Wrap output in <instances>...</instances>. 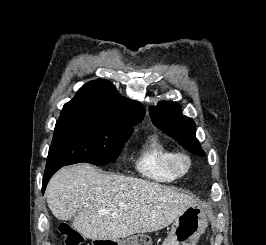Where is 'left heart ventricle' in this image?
Masks as SVG:
<instances>
[{
	"label": "left heart ventricle",
	"instance_id": "b2bd125f",
	"mask_svg": "<svg viewBox=\"0 0 266 245\" xmlns=\"http://www.w3.org/2000/svg\"><path fill=\"white\" fill-rule=\"evenodd\" d=\"M186 166H187V164L185 161H180L179 168L181 171H184L186 169Z\"/></svg>",
	"mask_w": 266,
	"mask_h": 245
}]
</instances>
